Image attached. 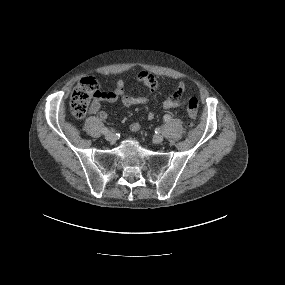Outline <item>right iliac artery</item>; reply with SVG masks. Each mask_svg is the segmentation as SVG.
Masks as SVG:
<instances>
[{
  "mask_svg": "<svg viewBox=\"0 0 285 285\" xmlns=\"http://www.w3.org/2000/svg\"><path fill=\"white\" fill-rule=\"evenodd\" d=\"M109 132V129L107 127L102 128V133L107 134Z\"/></svg>",
  "mask_w": 285,
  "mask_h": 285,
  "instance_id": "obj_1",
  "label": "right iliac artery"
}]
</instances>
